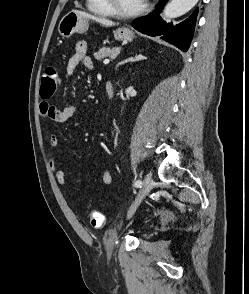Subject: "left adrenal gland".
<instances>
[{
    "label": "left adrenal gland",
    "mask_w": 249,
    "mask_h": 294,
    "mask_svg": "<svg viewBox=\"0 0 249 294\" xmlns=\"http://www.w3.org/2000/svg\"><path fill=\"white\" fill-rule=\"evenodd\" d=\"M146 59L145 56L141 55V54H136L135 56L133 57H129L128 59H125L124 61H121L120 63H118L117 67H119L120 65H123L125 63H128V62H135V61H139V60H144Z\"/></svg>",
    "instance_id": "obj_1"
}]
</instances>
